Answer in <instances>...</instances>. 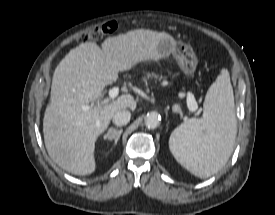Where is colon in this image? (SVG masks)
Returning <instances> with one entry per match:
<instances>
[{
	"mask_svg": "<svg viewBox=\"0 0 275 215\" xmlns=\"http://www.w3.org/2000/svg\"><path fill=\"white\" fill-rule=\"evenodd\" d=\"M117 29V23L115 21H109L102 26L92 29L90 32L79 36V40L82 42L86 41H98L106 35L112 34Z\"/></svg>",
	"mask_w": 275,
	"mask_h": 215,
	"instance_id": "obj_1",
	"label": "colon"
}]
</instances>
